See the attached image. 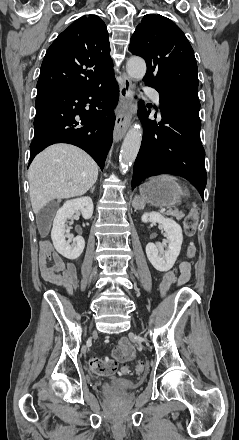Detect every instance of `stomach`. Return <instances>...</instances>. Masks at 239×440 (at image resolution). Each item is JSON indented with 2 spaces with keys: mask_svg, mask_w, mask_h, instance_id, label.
<instances>
[{
  "mask_svg": "<svg viewBox=\"0 0 239 440\" xmlns=\"http://www.w3.org/2000/svg\"><path fill=\"white\" fill-rule=\"evenodd\" d=\"M182 190L179 184L166 180L162 176L149 178V182H145L140 186V202L143 204H151V206H159V208H172L174 204L180 202Z\"/></svg>",
  "mask_w": 239,
  "mask_h": 440,
  "instance_id": "0dacf381",
  "label": "stomach"
}]
</instances>
